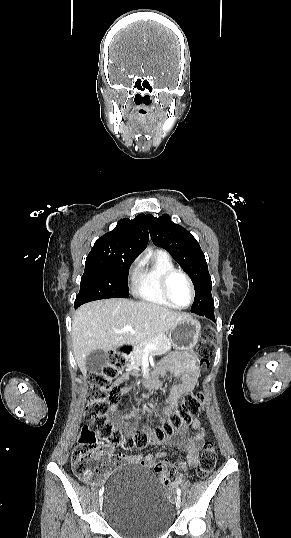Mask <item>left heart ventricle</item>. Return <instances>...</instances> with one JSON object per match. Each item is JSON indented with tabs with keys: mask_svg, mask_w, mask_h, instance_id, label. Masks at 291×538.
<instances>
[{
	"mask_svg": "<svg viewBox=\"0 0 291 538\" xmlns=\"http://www.w3.org/2000/svg\"><path fill=\"white\" fill-rule=\"evenodd\" d=\"M170 295L173 301L180 306H185L190 301V289L188 283L181 275H175L169 285Z\"/></svg>",
	"mask_w": 291,
	"mask_h": 538,
	"instance_id": "obj_1",
	"label": "left heart ventricle"
}]
</instances>
